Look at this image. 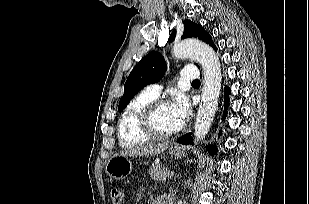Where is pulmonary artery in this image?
<instances>
[{
	"mask_svg": "<svg viewBox=\"0 0 309 204\" xmlns=\"http://www.w3.org/2000/svg\"><path fill=\"white\" fill-rule=\"evenodd\" d=\"M198 76V70L192 67H185L180 73V77L182 80H196ZM145 92L157 98L161 93V86L158 84H150L145 88Z\"/></svg>",
	"mask_w": 309,
	"mask_h": 204,
	"instance_id": "1",
	"label": "pulmonary artery"
}]
</instances>
